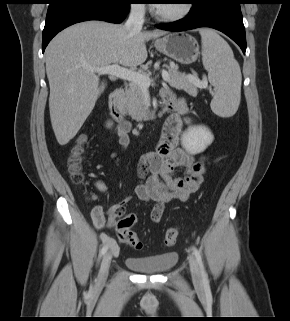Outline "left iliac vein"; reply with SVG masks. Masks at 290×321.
Wrapping results in <instances>:
<instances>
[{
  "instance_id": "1",
  "label": "left iliac vein",
  "mask_w": 290,
  "mask_h": 321,
  "mask_svg": "<svg viewBox=\"0 0 290 321\" xmlns=\"http://www.w3.org/2000/svg\"><path fill=\"white\" fill-rule=\"evenodd\" d=\"M189 266H190V272H191L193 282L197 286H201L202 285L201 273L198 267V263L192 255L189 256Z\"/></svg>"
}]
</instances>
